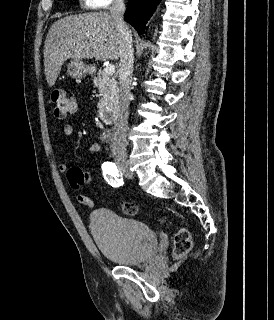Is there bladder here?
I'll list each match as a JSON object with an SVG mask.
<instances>
[{"label": "bladder", "instance_id": "31cf9c89", "mask_svg": "<svg viewBox=\"0 0 274 320\" xmlns=\"http://www.w3.org/2000/svg\"><path fill=\"white\" fill-rule=\"evenodd\" d=\"M89 229L99 251L116 264L140 265L157 252L158 237L147 224L113 210L94 211Z\"/></svg>", "mask_w": 274, "mask_h": 320}]
</instances>
